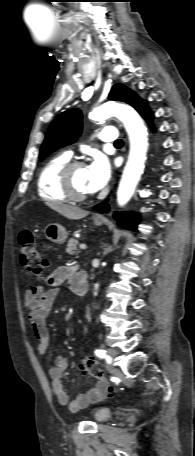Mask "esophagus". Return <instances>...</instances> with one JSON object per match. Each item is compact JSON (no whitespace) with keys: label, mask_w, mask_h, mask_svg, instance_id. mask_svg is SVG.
Instances as JSON below:
<instances>
[{"label":"esophagus","mask_w":195,"mask_h":456,"mask_svg":"<svg viewBox=\"0 0 195 456\" xmlns=\"http://www.w3.org/2000/svg\"><path fill=\"white\" fill-rule=\"evenodd\" d=\"M95 218H96V219H102V217H101V216H96Z\"/></svg>","instance_id":"34e87169"}]
</instances>
